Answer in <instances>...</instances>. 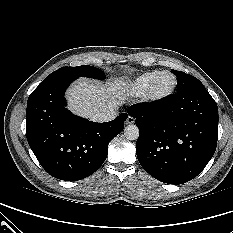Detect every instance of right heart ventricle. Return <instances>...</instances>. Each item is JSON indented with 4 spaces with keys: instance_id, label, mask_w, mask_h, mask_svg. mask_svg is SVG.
<instances>
[{
    "instance_id": "1",
    "label": "right heart ventricle",
    "mask_w": 233,
    "mask_h": 233,
    "mask_svg": "<svg viewBox=\"0 0 233 233\" xmlns=\"http://www.w3.org/2000/svg\"><path fill=\"white\" fill-rule=\"evenodd\" d=\"M159 70L146 71L124 84L125 90L134 96L143 95L153 79L160 73Z\"/></svg>"
}]
</instances>
